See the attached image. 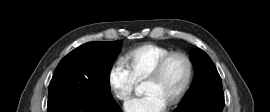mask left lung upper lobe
<instances>
[{
  "label": "left lung upper lobe",
  "instance_id": "5c2ea615",
  "mask_svg": "<svg viewBox=\"0 0 270 112\" xmlns=\"http://www.w3.org/2000/svg\"><path fill=\"white\" fill-rule=\"evenodd\" d=\"M189 55L195 78L179 106L200 102L210 96L224 97L221 78L210 57L201 49H193Z\"/></svg>",
  "mask_w": 270,
  "mask_h": 112
}]
</instances>
